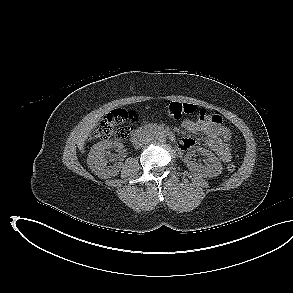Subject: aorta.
<instances>
[{"label":"aorta","mask_w":293,"mask_h":293,"mask_svg":"<svg viewBox=\"0 0 293 293\" xmlns=\"http://www.w3.org/2000/svg\"><path fill=\"white\" fill-rule=\"evenodd\" d=\"M155 139H156L158 142H164V141H166V135H159V136H156Z\"/></svg>","instance_id":"obj_1"}]
</instances>
